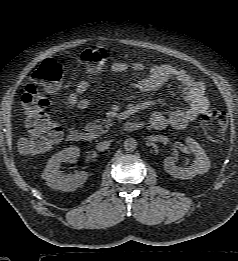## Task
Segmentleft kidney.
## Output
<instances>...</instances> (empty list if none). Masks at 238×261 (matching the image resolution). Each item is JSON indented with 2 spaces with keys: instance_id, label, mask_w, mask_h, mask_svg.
Instances as JSON below:
<instances>
[{
  "instance_id": "left-kidney-1",
  "label": "left kidney",
  "mask_w": 238,
  "mask_h": 261,
  "mask_svg": "<svg viewBox=\"0 0 238 261\" xmlns=\"http://www.w3.org/2000/svg\"><path fill=\"white\" fill-rule=\"evenodd\" d=\"M186 144L195 155L194 163L189 167L176 165L175 157H167L164 160L165 171L178 179H190L198 174H204L210 169V161L203 148L192 138H186Z\"/></svg>"
}]
</instances>
